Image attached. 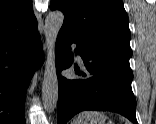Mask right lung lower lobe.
Here are the masks:
<instances>
[{
    "instance_id": "98d812e1",
    "label": "right lung lower lobe",
    "mask_w": 156,
    "mask_h": 124,
    "mask_svg": "<svg viewBox=\"0 0 156 124\" xmlns=\"http://www.w3.org/2000/svg\"><path fill=\"white\" fill-rule=\"evenodd\" d=\"M43 60L37 29L0 40V124H25L30 79Z\"/></svg>"
}]
</instances>
